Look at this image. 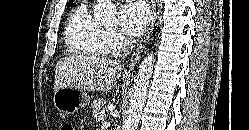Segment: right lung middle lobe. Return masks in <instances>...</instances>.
I'll return each instance as SVG.
<instances>
[{
    "label": "right lung middle lobe",
    "mask_w": 249,
    "mask_h": 130,
    "mask_svg": "<svg viewBox=\"0 0 249 130\" xmlns=\"http://www.w3.org/2000/svg\"><path fill=\"white\" fill-rule=\"evenodd\" d=\"M71 6V4L67 5V8H69Z\"/></svg>",
    "instance_id": "obj_1"
}]
</instances>
